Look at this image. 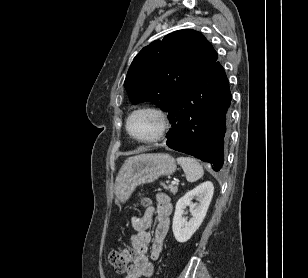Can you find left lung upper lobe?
Returning a JSON list of instances; mask_svg holds the SVG:
<instances>
[{"instance_id":"obj_1","label":"left lung upper lobe","mask_w":308,"mask_h":278,"mask_svg":"<svg viewBox=\"0 0 308 278\" xmlns=\"http://www.w3.org/2000/svg\"><path fill=\"white\" fill-rule=\"evenodd\" d=\"M211 43L194 30H178L144 47L124 87L132 104L151 101L168 111L183 91L217 62Z\"/></svg>"}]
</instances>
